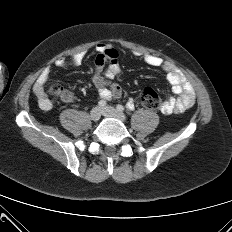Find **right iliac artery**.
Here are the masks:
<instances>
[{"label":"right iliac artery","instance_id":"82829eb1","mask_svg":"<svg viewBox=\"0 0 232 232\" xmlns=\"http://www.w3.org/2000/svg\"><path fill=\"white\" fill-rule=\"evenodd\" d=\"M98 105H99V107L103 108L106 105V101L105 100H100L98 102Z\"/></svg>","mask_w":232,"mask_h":232}]
</instances>
